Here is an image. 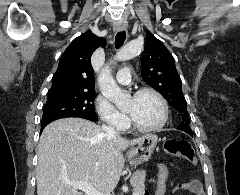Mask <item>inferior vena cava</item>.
<instances>
[{
    "instance_id": "1",
    "label": "inferior vena cava",
    "mask_w": 240,
    "mask_h": 195,
    "mask_svg": "<svg viewBox=\"0 0 240 195\" xmlns=\"http://www.w3.org/2000/svg\"><path fill=\"white\" fill-rule=\"evenodd\" d=\"M102 129L105 131L107 137H115V135H118L117 131H115L114 125H102Z\"/></svg>"
}]
</instances>
